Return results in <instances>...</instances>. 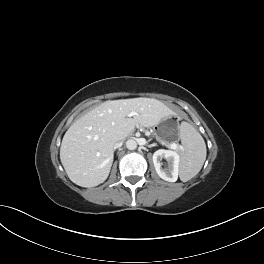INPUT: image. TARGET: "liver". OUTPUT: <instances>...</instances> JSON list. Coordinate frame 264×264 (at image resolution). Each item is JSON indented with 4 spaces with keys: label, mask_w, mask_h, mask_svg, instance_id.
<instances>
[{
    "label": "liver",
    "mask_w": 264,
    "mask_h": 264,
    "mask_svg": "<svg viewBox=\"0 0 264 264\" xmlns=\"http://www.w3.org/2000/svg\"><path fill=\"white\" fill-rule=\"evenodd\" d=\"M172 114L162 102L149 98L100 104L74 122L63 137L60 160L68 177L81 187L103 183L112 166L114 143L128 137L136 125L156 126Z\"/></svg>",
    "instance_id": "6515ba94"
}]
</instances>
